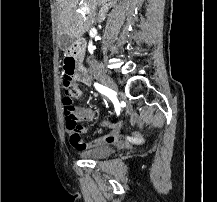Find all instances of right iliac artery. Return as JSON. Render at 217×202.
Returning <instances> with one entry per match:
<instances>
[{
  "instance_id": "1",
  "label": "right iliac artery",
  "mask_w": 217,
  "mask_h": 202,
  "mask_svg": "<svg viewBox=\"0 0 217 202\" xmlns=\"http://www.w3.org/2000/svg\"><path fill=\"white\" fill-rule=\"evenodd\" d=\"M94 86L96 90L110 98V102H113L115 113L119 117L121 115V104L120 101H117V97H115L113 90L99 83H94Z\"/></svg>"
}]
</instances>
